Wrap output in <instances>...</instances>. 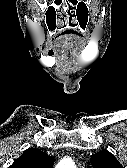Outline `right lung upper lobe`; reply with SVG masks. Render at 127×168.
<instances>
[{"mask_svg":"<svg viewBox=\"0 0 127 168\" xmlns=\"http://www.w3.org/2000/svg\"><path fill=\"white\" fill-rule=\"evenodd\" d=\"M54 159L46 153L30 148L23 152L9 168H52Z\"/></svg>","mask_w":127,"mask_h":168,"instance_id":"1","label":"right lung upper lobe"}]
</instances>
